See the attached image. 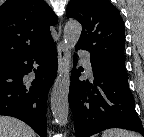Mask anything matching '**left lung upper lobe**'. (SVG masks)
Wrapping results in <instances>:
<instances>
[{
	"instance_id": "5c2ea615",
	"label": "left lung upper lobe",
	"mask_w": 144,
	"mask_h": 137,
	"mask_svg": "<svg viewBox=\"0 0 144 137\" xmlns=\"http://www.w3.org/2000/svg\"><path fill=\"white\" fill-rule=\"evenodd\" d=\"M66 15L82 24L76 47L89 51L90 58L126 72L124 23L109 0H71Z\"/></svg>"
}]
</instances>
